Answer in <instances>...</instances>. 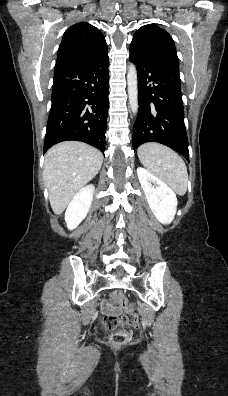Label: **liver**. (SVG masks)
Segmentation results:
<instances>
[{
  "instance_id": "obj_1",
  "label": "liver",
  "mask_w": 228,
  "mask_h": 396,
  "mask_svg": "<svg viewBox=\"0 0 228 396\" xmlns=\"http://www.w3.org/2000/svg\"><path fill=\"white\" fill-rule=\"evenodd\" d=\"M102 162V153L83 142H61L48 150L43 180L55 214L60 215L72 198L96 176Z\"/></svg>"
}]
</instances>
